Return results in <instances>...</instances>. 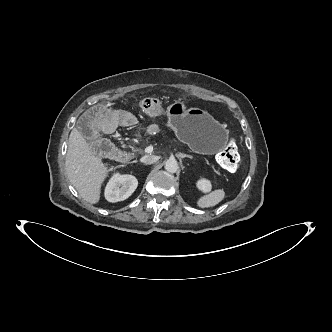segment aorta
<instances>
[{"mask_svg": "<svg viewBox=\"0 0 332 332\" xmlns=\"http://www.w3.org/2000/svg\"><path fill=\"white\" fill-rule=\"evenodd\" d=\"M179 166L174 158H170L165 163V170L169 173H176Z\"/></svg>", "mask_w": 332, "mask_h": 332, "instance_id": "obj_1", "label": "aorta"}]
</instances>
